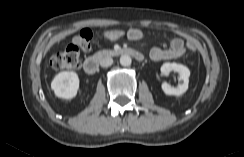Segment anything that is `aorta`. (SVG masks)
<instances>
[{
  "mask_svg": "<svg viewBox=\"0 0 244 157\" xmlns=\"http://www.w3.org/2000/svg\"><path fill=\"white\" fill-rule=\"evenodd\" d=\"M132 63V59L129 55H122L120 57V64L122 66H130Z\"/></svg>",
  "mask_w": 244,
  "mask_h": 157,
  "instance_id": "762f6f07",
  "label": "aorta"
}]
</instances>
